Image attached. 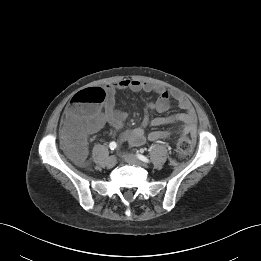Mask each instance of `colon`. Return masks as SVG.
<instances>
[{"label":"colon","instance_id":"5ec220e1","mask_svg":"<svg viewBox=\"0 0 261 261\" xmlns=\"http://www.w3.org/2000/svg\"><path fill=\"white\" fill-rule=\"evenodd\" d=\"M102 88L94 87L78 92L66 108V118L62 130V143L72 159L81 162L85 158V135L88 130V119L105 101ZM192 151V142L181 136L176 142V156L187 157Z\"/></svg>","mask_w":261,"mask_h":261}]
</instances>
